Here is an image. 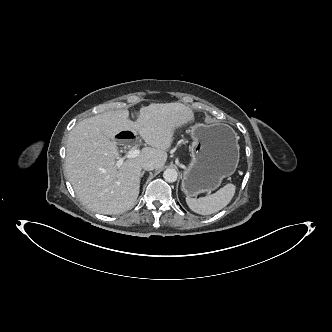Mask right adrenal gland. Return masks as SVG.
Masks as SVG:
<instances>
[{"instance_id": "1", "label": "right adrenal gland", "mask_w": 332, "mask_h": 332, "mask_svg": "<svg viewBox=\"0 0 332 332\" xmlns=\"http://www.w3.org/2000/svg\"><path fill=\"white\" fill-rule=\"evenodd\" d=\"M144 175V171L141 173V176H143Z\"/></svg>"}]
</instances>
